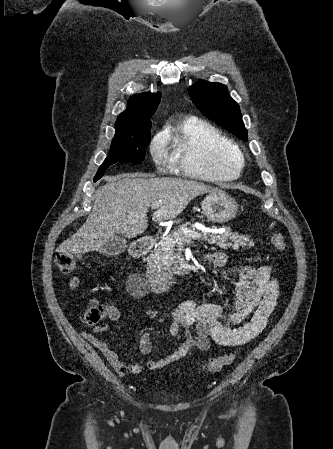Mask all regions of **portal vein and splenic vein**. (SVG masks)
I'll list each match as a JSON object with an SVG mask.
<instances>
[{
	"mask_svg": "<svg viewBox=\"0 0 333 449\" xmlns=\"http://www.w3.org/2000/svg\"><path fill=\"white\" fill-rule=\"evenodd\" d=\"M161 204H162V201L159 200L158 202L152 203V204H151V208L157 209V208H159V207L161 206ZM181 230H182L186 235L190 236V237L193 238V239L200 238V237H202V235H203V234L200 233V232L192 231V230H189V229L184 228V227H181Z\"/></svg>",
	"mask_w": 333,
	"mask_h": 449,
	"instance_id": "portal-vein-and-splenic-vein-1",
	"label": "portal vein and splenic vein"
}]
</instances>
